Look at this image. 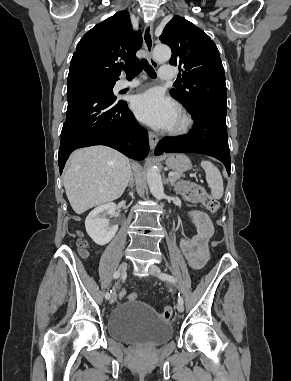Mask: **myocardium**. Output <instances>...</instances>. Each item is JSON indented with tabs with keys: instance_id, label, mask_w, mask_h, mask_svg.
<instances>
[{
	"instance_id": "1",
	"label": "myocardium",
	"mask_w": 291,
	"mask_h": 381,
	"mask_svg": "<svg viewBox=\"0 0 291 381\" xmlns=\"http://www.w3.org/2000/svg\"><path fill=\"white\" fill-rule=\"evenodd\" d=\"M192 125V116L187 111L180 110L176 123L171 127L169 132L173 135H183L191 129Z\"/></svg>"
}]
</instances>
